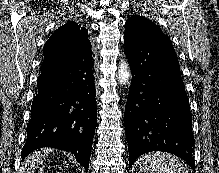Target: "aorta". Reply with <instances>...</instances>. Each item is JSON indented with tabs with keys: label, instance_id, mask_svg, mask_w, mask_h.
I'll return each mask as SVG.
<instances>
[{
	"label": "aorta",
	"instance_id": "1",
	"mask_svg": "<svg viewBox=\"0 0 219 173\" xmlns=\"http://www.w3.org/2000/svg\"><path fill=\"white\" fill-rule=\"evenodd\" d=\"M131 70L127 61L122 60L118 69V81L120 85L130 84Z\"/></svg>",
	"mask_w": 219,
	"mask_h": 173
}]
</instances>
